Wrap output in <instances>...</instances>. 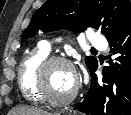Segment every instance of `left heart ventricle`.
<instances>
[{
    "mask_svg": "<svg viewBox=\"0 0 131 115\" xmlns=\"http://www.w3.org/2000/svg\"><path fill=\"white\" fill-rule=\"evenodd\" d=\"M47 90L55 98L68 96L75 85L70 68L64 64L53 65L47 72Z\"/></svg>",
    "mask_w": 131,
    "mask_h": 115,
    "instance_id": "obj_1",
    "label": "left heart ventricle"
}]
</instances>
